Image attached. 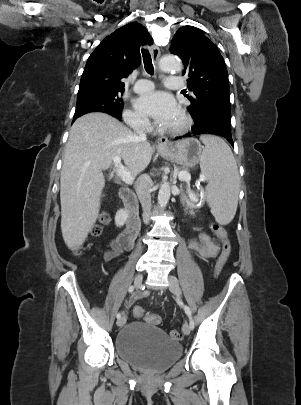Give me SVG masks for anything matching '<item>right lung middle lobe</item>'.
Here are the masks:
<instances>
[{"mask_svg":"<svg viewBox=\"0 0 301 405\" xmlns=\"http://www.w3.org/2000/svg\"><path fill=\"white\" fill-rule=\"evenodd\" d=\"M123 92L109 90H89L77 95L76 110L73 119L90 112H104L114 117H121Z\"/></svg>","mask_w":301,"mask_h":405,"instance_id":"1","label":"right lung middle lobe"}]
</instances>
